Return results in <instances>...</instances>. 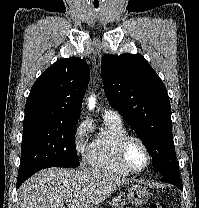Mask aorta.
<instances>
[{"instance_id":"obj_1","label":"aorta","mask_w":199,"mask_h":208,"mask_svg":"<svg viewBox=\"0 0 199 208\" xmlns=\"http://www.w3.org/2000/svg\"><path fill=\"white\" fill-rule=\"evenodd\" d=\"M95 105H96V99L94 96H91L88 100V107L90 109H93L95 107Z\"/></svg>"}]
</instances>
